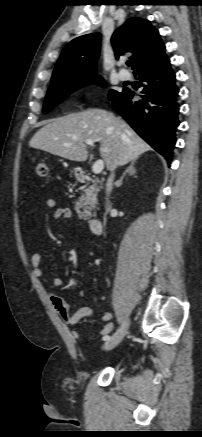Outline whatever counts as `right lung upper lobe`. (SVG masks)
Wrapping results in <instances>:
<instances>
[{
    "label": "right lung upper lobe",
    "mask_w": 202,
    "mask_h": 437,
    "mask_svg": "<svg viewBox=\"0 0 202 437\" xmlns=\"http://www.w3.org/2000/svg\"><path fill=\"white\" fill-rule=\"evenodd\" d=\"M101 35L92 33L72 40L63 50L54 69L51 83L72 78L96 75ZM116 56L132 52L133 70L153 63L165 55L158 30L145 19L133 17L118 28L111 38Z\"/></svg>",
    "instance_id": "1"
}]
</instances>
